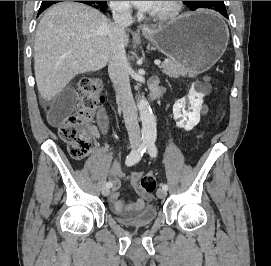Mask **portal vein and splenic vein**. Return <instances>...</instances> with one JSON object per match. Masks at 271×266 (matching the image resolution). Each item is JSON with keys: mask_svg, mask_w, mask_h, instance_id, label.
Segmentation results:
<instances>
[{"mask_svg": "<svg viewBox=\"0 0 271 266\" xmlns=\"http://www.w3.org/2000/svg\"><path fill=\"white\" fill-rule=\"evenodd\" d=\"M90 52H94V49H90ZM154 64H155L156 66H160V65H161V61H160V60H155V61H154Z\"/></svg>", "mask_w": 271, "mask_h": 266, "instance_id": "1", "label": "portal vein and splenic vein"}]
</instances>
